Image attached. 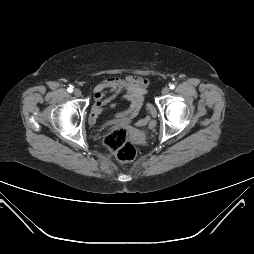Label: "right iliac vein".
<instances>
[{
    "label": "right iliac vein",
    "mask_w": 254,
    "mask_h": 254,
    "mask_svg": "<svg viewBox=\"0 0 254 254\" xmlns=\"http://www.w3.org/2000/svg\"><path fill=\"white\" fill-rule=\"evenodd\" d=\"M73 94H74L76 97H80L81 94H82V92H81L80 89L76 88V89H74Z\"/></svg>",
    "instance_id": "obj_1"
}]
</instances>
